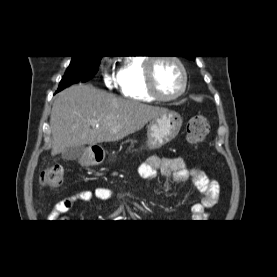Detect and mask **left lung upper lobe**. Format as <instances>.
I'll return each mask as SVG.
<instances>
[{
	"mask_svg": "<svg viewBox=\"0 0 277 277\" xmlns=\"http://www.w3.org/2000/svg\"><path fill=\"white\" fill-rule=\"evenodd\" d=\"M186 58H188V59H190V60H195V56H192V57H186Z\"/></svg>",
	"mask_w": 277,
	"mask_h": 277,
	"instance_id": "1",
	"label": "left lung upper lobe"
}]
</instances>
